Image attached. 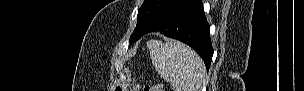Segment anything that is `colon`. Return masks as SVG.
<instances>
[{
    "mask_svg": "<svg viewBox=\"0 0 304 91\" xmlns=\"http://www.w3.org/2000/svg\"><path fill=\"white\" fill-rule=\"evenodd\" d=\"M140 88L133 84H123L117 88V91H137ZM144 91H163V87L161 84H148L143 87Z\"/></svg>",
    "mask_w": 304,
    "mask_h": 91,
    "instance_id": "obj_1",
    "label": "colon"
}]
</instances>
